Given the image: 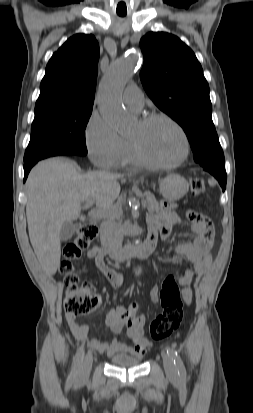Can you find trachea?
<instances>
[{
    "instance_id": "3493384b",
    "label": "trachea",
    "mask_w": 253,
    "mask_h": 413,
    "mask_svg": "<svg viewBox=\"0 0 253 413\" xmlns=\"http://www.w3.org/2000/svg\"><path fill=\"white\" fill-rule=\"evenodd\" d=\"M118 15L121 16V17L125 16V14H118Z\"/></svg>"
}]
</instances>
